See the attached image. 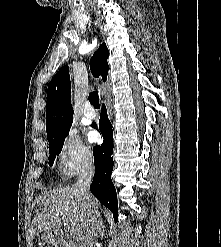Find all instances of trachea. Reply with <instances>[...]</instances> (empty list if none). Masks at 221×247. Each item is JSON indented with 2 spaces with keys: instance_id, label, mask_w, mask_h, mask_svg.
Segmentation results:
<instances>
[{
  "instance_id": "1",
  "label": "trachea",
  "mask_w": 221,
  "mask_h": 247,
  "mask_svg": "<svg viewBox=\"0 0 221 247\" xmlns=\"http://www.w3.org/2000/svg\"><path fill=\"white\" fill-rule=\"evenodd\" d=\"M90 103L93 105L94 108L99 109L100 108V103H99V96L98 92L94 91L89 94L88 97Z\"/></svg>"
}]
</instances>
